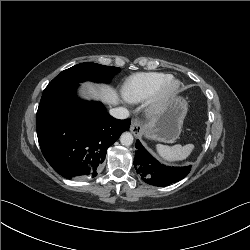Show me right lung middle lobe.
Returning a JSON list of instances; mask_svg holds the SVG:
<instances>
[{
  "mask_svg": "<svg viewBox=\"0 0 250 250\" xmlns=\"http://www.w3.org/2000/svg\"><path fill=\"white\" fill-rule=\"evenodd\" d=\"M120 71L118 67L104 66L92 62L75 65L62 71L44 89L41 101L53 96L62 88L77 85L85 80L108 82Z\"/></svg>",
  "mask_w": 250,
  "mask_h": 250,
  "instance_id": "dd1d6c3e",
  "label": "right lung middle lobe"
}]
</instances>
